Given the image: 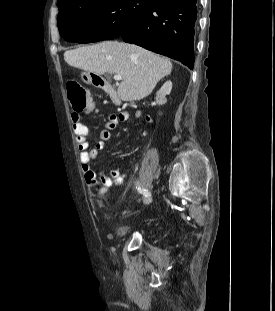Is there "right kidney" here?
Segmentation results:
<instances>
[{"mask_svg":"<svg viewBox=\"0 0 275 311\" xmlns=\"http://www.w3.org/2000/svg\"><path fill=\"white\" fill-rule=\"evenodd\" d=\"M172 89V82L171 81H166L161 89L157 90L158 92L155 95V98L153 99V102L158 105H165L166 104V99L164 98L166 95L170 94Z\"/></svg>","mask_w":275,"mask_h":311,"instance_id":"obj_1","label":"right kidney"}]
</instances>
